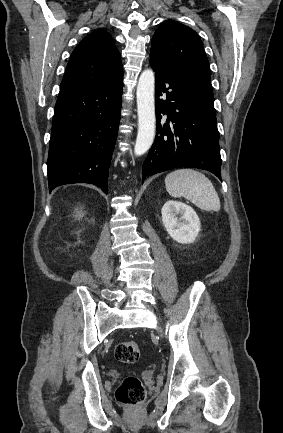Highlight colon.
<instances>
[{
	"label": "colon",
	"mask_w": 283,
	"mask_h": 433,
	"mask_svg": "<svg viewBox=\"0 0 283 433\" xmlns=\"http://www.w3.org/2000/svg\"><path fill=\"white\" fill-rule=\"evenodd\" d=\"M115 356L121 363L134 364L140 356L139 346L135 341L121 342L116 346ZM144 397V387L141 381L134 376L124 378L116 390L117 400L129 406L138 405Z\"/></svg>",
	"instance_id": "obj_1"
}]
</instances>
